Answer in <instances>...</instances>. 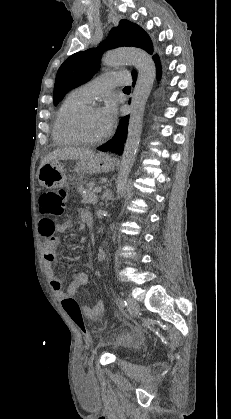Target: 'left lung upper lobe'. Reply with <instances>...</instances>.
Returning a JSON list of instances; mask_svg holds the SVG:
<instances>
[{"label":"left lung upper lobe","mask_w":231,"mask_h":419,"mask_svg":"<svg viewBox=\"0 0 231 419\" xmlns=\"http://www.w3.org/2000/svg\"><path fill=\"white\" fill-rule=\"evenodd\" d=\"M138 47L148 53L153 52L152 42L146 32L128 20H121L113 28L105 41L97 48L77 52L67 58L60 66L55 86L54 105H57L71 89L89 81L99 69L102 53L109 48ZM136 73L135 71L132 74Z\"/></svg>","instance_id":"left-lung-upper-lobe-1"}]
</instances>
